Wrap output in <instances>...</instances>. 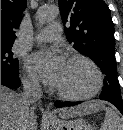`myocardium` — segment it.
<instances>
[{"instance_id": "1", "label": "myocardium", "mask_w": 123, "mask_h": 130, "mask_svg": "<svg viewBox=\"0 0 123 130\" xmlns=\"http://www.w3.org/2000/svg\"><path fill=\"white\" fill-rule=\"evenodd\" d=\"M67 61H71V62L78 61V62H82V63L88 65L94 72L95 85L92 90H90L89 92H87L85 94L67 93V92L60 90L56 86H54V90H55L56 94L59 97H61L62 99H65L68 101H84V100H88V99L95 97L100 92V90L103 86V76H102V73H101L99 67L91 59L87 58L86 56L80 55V54H74V55L69 56Z\"/></svg>"}]
</instances>
